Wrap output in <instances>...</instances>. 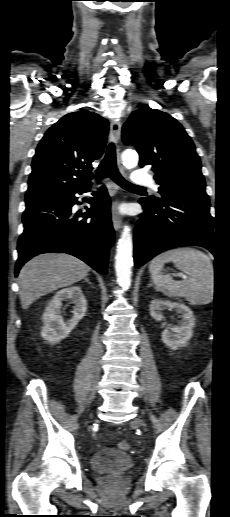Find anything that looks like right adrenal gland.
<instances>
[{"label": "right adrenal gland", "mask_w": 230, "mask_h": 517, "mask_svg": "<svg viewBox=\"0 0 230 517\" xmlns=\"http://www.w3.org/2000/svg\"><path fill=\"white\" fill-rule=\"evenodd\" d=\"M84 281H85V282H87L88 284H92V283L89 281V279H88V278H85V279H84Z\"/></svg>", "instance_id": "2a0ac1e0"}]
</instances>
